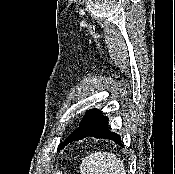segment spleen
<instances>
[{
  "instance_id": "3e777b00",
  "label": "spleen",
  "mask_w": 175,
  "mask_h": 174,
  "mask_svg": "<svg viewBox=\"0 0 175 174\" xmlns=\"http://www.w3.org/2000/svg\"><path fill=\"white\" fill-rule=\"evenodd\" d=\"M81 174H126L122 160L110 152H95L86 156L80 166Z\"/></svg>"
}]
</instances>
